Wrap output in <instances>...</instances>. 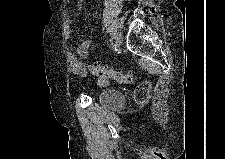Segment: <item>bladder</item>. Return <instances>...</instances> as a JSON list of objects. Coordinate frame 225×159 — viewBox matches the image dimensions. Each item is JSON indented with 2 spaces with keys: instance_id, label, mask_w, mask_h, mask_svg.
Segmentation results:
<instances>
[{
  "instance_id": "obj_1",
  "label": "bladder",
  "mask_w": 225,
  "mask_h": 159,
  "mask_svg": "<svg viewBox=\"0 0 225 159\" xmlns=\"http://www.w3.org/2000/svg\"><path fill=\"white\" fill-rule=\"evenodd\" d=\"M98 104L110 110H117L124 106L125 99L121 93L105 89L99 94Z\"/></svg>"
}]
</instances>
